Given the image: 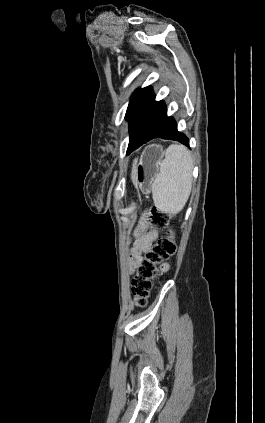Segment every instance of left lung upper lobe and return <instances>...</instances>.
I'll return each mask as SVG.
<instances>
[{
	"instance_id": "5c2ea615",
	"label": "left lung upper lobe",
	"mask_w": 265,
	"mask_h": 423,
	"mask_svg": "<svg viewBox=\"0 0 265 423\" xmlns=\"http://www.w3.org/2000/svg\"><path fill=\"white\" fill-rule=\"evenodd\" d=\"M136 94H137V90H136V91L133 93V95H132V98H131V100H130V103H129V106H128V109H127V112H126V117L128 116V113H129L130 107H131V105H132V102H133V100H134V98H135Z\"/></svg>"
}]
</instances>
